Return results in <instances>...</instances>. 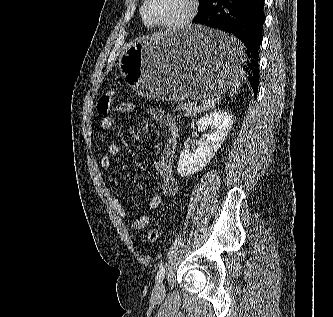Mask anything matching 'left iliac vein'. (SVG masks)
<instances>
[{"instance_id":"1","label":"left iliac vein","mask_w":333,"mask_h":317,"mask_svg":"<svg viewBox=\"0 0 333 317\" xmlns=\"http://www.w3.org/2000/svg\"><path fill=\"white\" fill-rule=\"evenodd\" d=\"M153 295L157 299H162L165 296V285L162 281L155 285Z\"/></svg>"}]
</instances>
